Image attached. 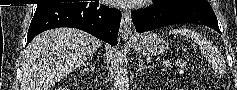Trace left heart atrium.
Listing matches in <instances>:
<instances>
[{
    "label": "left heart atrium",
    "instance_id": "obj_1",
    "mask_svg": "<svg viewBox=\"0 0 237 90\" xmlns=\"http://www.w3.org/2000/svg\"><path fill=\"white\" fill-rule=\"evenodd\" d=\"M112 7H126L132 10L133 7H140L141 3H147L148 0H112Z\"/></svg>",
    "mask_w": 237,
    "mask_h": 90
}]
</instances>
